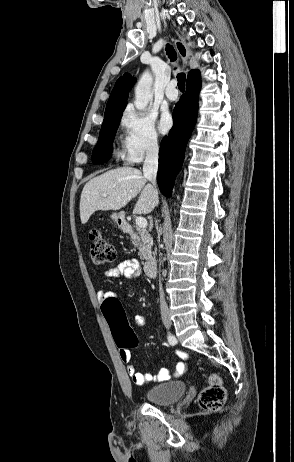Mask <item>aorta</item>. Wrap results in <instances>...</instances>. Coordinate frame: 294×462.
I'll return each mask as SVG.
<instances>
[{"label":"aorta","instance_id":"1","mask_svg":"<svg viewBox=\"0 0 294 462\" xmlns=\"http://www.w3.org/2000/svg\"><path fill=\"white\" fill-rule=\"evenodd\" d=\"M153 78L149 71H145L135 87V102L134 105L138 110H144L149 101L152 100L151 92Z\"/></svg>","mask_w":294,"mask_h":462}]
</instances>
